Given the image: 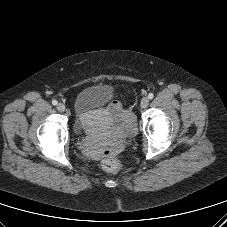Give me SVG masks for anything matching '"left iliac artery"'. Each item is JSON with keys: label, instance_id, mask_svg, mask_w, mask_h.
Instances as JSON below:
<instances>
[{"label": "left iliac artery", "instance_id": "obj_1", "mask_svg": "<svg viewBox=\"0 0 227 227\" xmlns=\"http://www.w3.org/2000/svg\"><path fill=\"white\" fill-rule=\"evenodd\" d=\"M153 97H154L153 93H149V94H148V98H149V99H153Z\"/></svg>", "mask_w": 227, "mask_h": 227}]
</instances>
